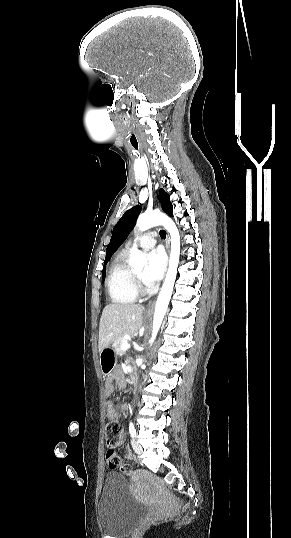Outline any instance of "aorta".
Wrapping results in <instances>:
<instances>
[{"label": "aorta", "mask_w": 291, "mask_h": 538, "mask_svg": "<svg viewBox=\"0 0 291 538\" xmlns=\"http://www.w3.org/2000/svg\"><path fill=\"white\" fill-rule=\"evenodd\" d=\"M157 225H163L164 228L169 232L171 238V253L165 281L155 306L152 335L149 340L151 345L153 344L160 329L173 292L180 257V234L176 224L170 217L161 212L153 211L142 213L137 219V226L141 231H145ZM146 261V255L141 251H136L135 253L131 254L129 264L135 269H143Z\"/></svg>", "instance_id": "1"}]
</instances>
